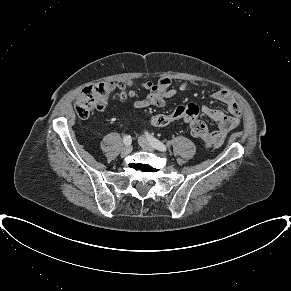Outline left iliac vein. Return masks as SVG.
I'll list each match as a JSON object with an SVG mask.
<instances>
[{
	"label": "left iliac vein",
	"instance_id": "left-iliac-vein-1",
	"mask_svg": "<svg viewBox=\"0 0 291 291\" xmlns=\"http://www.w3.org/2000/svg\"><path fill=\"white\" fill-rule=\"evenodd\" d=\"M139 145L146 151L153 152L155 148L153 145L143 136L138 139Z\"/></svg>",
	"mask_w": 291,
	"mask_h": 291
}]
</instances>
